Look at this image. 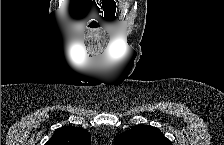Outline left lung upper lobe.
Returning <instances> with one entry per match:
<instances>
[{
	"instance_id": "1",
	"label": "left lung upper lobe",
	"mask_w": 224,
	"mask_h": 145,
	"mask_svg": "<svg viewBox=\"0 0 224 145\" xmlns=\"http://www.w3.org/2000/svg\"><path fill=\"white\" fill-rule=\"evenodd\" d=\"M114 143L115 145H172L158 128L148 125H138L119 134Z\"/></svg>"
}]
</instances>
